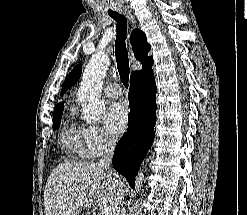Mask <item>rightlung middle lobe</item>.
Returning <instances> with one entry per match:
<instances>
[{
    "label": "right lung middle lobe",
    "mask_w": 247,
    "mask_h": 215,
    "mask_svg": "<svg viewBox=\"0 0 247 215\" xmlns=\"http://www.w3.org/2000/svg\"><path fill=\"white\" fill-rule=\"evenodd\" d=\"M61 113H57L53 115V129L56 130L60 125Z\"/></svg>",
    "instance_id": "dd1d6c3e"
}]
</instances>
